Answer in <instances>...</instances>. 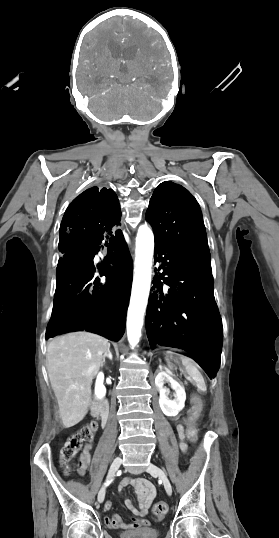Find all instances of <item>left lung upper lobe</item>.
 I'll use <instances>...</instances> for the list:
<instances>
[{"label": "left lung upper lobe", "instance_id": "1", "mask_svg": "<svg viewBox=\"0 0 279 538\" xmlns=\"http://www.w3.org/2000/svg\"><path fill=\"white\" fill-rule=\"evenodd\" d=\"M145 218L153 228L155 243L185 252L210 253L199 204L184 187L170 181L161 183Z\"/></svg>", "mask_w": 279, "mask_h": 538}]
</instances>
